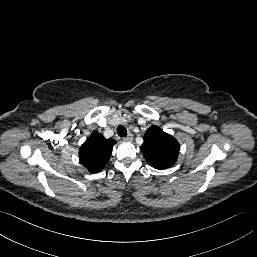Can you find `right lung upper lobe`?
I'll return each mask as SVG.
<instances>
[{
  "label": "right lung upper lobe",
  "instance_id": "right-lung-upper-lobe-1",
  "mask_svg": "<svg viewBox=\"0 0 257 257\" xmlns=\"http://www.w3.org/2000/svg\"><path fill=\"white\" fill-rule=\"evenodd\" d=\"M115 143L94 131L79 150L81 164L91 173L100 172L109 161Z\"/></svg>",
  "mask_w": 257,
  "mask_h": 257
}]
</instances>
